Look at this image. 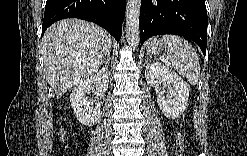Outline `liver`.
<instances>
[{
	"instance_id": "liver-1",
	"label": "liver",
	"mask_w": 247,
	"mask_h": 156,
	"mask_svg": "<svg viewBox=\"0 0 247 156\" xmlns=\"http://www.w3.org/2000/svg\"><path fill=\"white\" fill-rule=\"evenodd\" d=\"M112 41L103 28L79 19L61 20L46 30L44 72L57 99L98 70Z\"/></svg>"
}]
</instances>
